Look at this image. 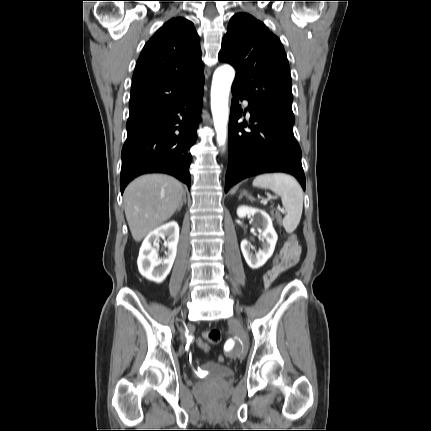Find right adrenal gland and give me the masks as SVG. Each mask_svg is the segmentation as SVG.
Returning a JSON list of instances; mask_svg holds the SVG:
<instances>
[{"mask_svg": "<svg viewBox=\"0 0 431 431\" xmlns=\"http://www.w3.org/2000/svg\"><path fill=\"white\" fill-rule=\"evenodd\" d=\"M183 204H186V194L185 193L183 194V199H182V201H181V203H180V205L178 207V211L181 210Z\"/></svg>", "mask_w": 431, "mask_h": 431, "instance_id": "obj_1", "label": "right adrenal gland"}]
</instances>
